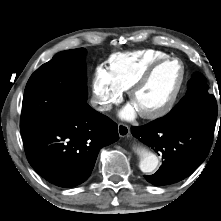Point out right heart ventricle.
Returning a JSON list of instances; mask_svg holds the SVG:
<instances>
[{"label": "right heart ventricle", "mask_w": 221, "mask_h": 221, "mask_svg": "<svg viewBox=\"0 0 221 221\" xmlns=\"http://www.w3.org/2000/svg\"><path fill=\"white\" fill-rule=\"evenodd\" d=\"M165 57L169 54L156 49L115 53L108 59V72L122 90H128L152 63Z\"/></svg>", "instance_id": "1"}]
</instances>
